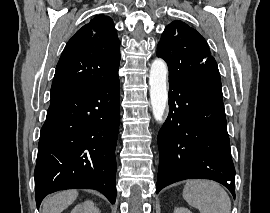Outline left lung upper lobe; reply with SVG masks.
Masks as SVG:
<instances>
[{
  "label": "left lung upper lobe",
  "mask_w": 270,
  "mask_h": 213,
  "mask_svg": "<svg viewBox=\"0 0 270 213\" xmlns=\"http://www.w3.org/2000/svg\"><path fill=\"white\" fill-rule=\"evenodd\" d=\"M169 67V81H193L222 92L215 59L205 39L182 21L169 24L157 46Z\"/></svg>",
  "instance_id": "5c2ea615"
}]
</instances>
